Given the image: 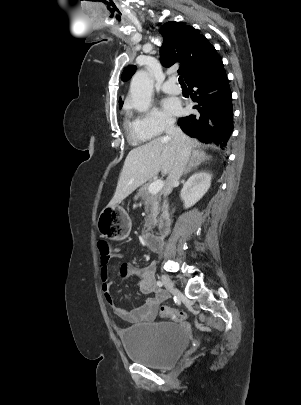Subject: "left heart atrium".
<instances>
[{
    "mask_svg": "<svg viewBox=\"0 0 301 405\" xmlns=\"http://www.w3.org/2000/svg\"><path fill=\"white\" fill-rule=\"evenodd\" d=\"M163 106L167 112L174 114V115L179 114L181 111V106H180L179 101L172 97H168V98L164 99Z\"/></svg>",
    "mask_w": 301,
    "mask_h": 405,
    "instance_id": "left-heart-atrium-1",
    "label": "left heart atrium"
}]
</instances>
